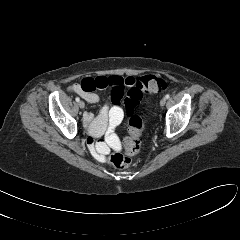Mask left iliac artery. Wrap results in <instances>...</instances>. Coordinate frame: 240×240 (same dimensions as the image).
<instances>
[{"instance_id":"1","label":"left iliac artery","mask_w":240,"mask_h":240,"mask_svg":"<svg viewBox=\"0 0 240 240\" xmlns=\"http://www.w3.org/2000/svg\"><path fill=\"white\" fill-rule=\"evenodd\" d=\"M165 98H166V99H169V98H170V94H166V95H165Z\"/></svg>"}]
</instances>
